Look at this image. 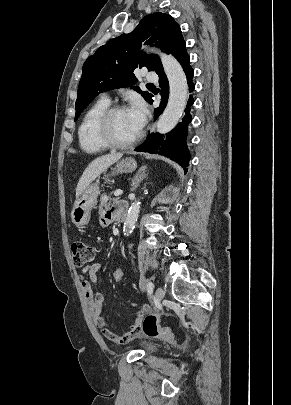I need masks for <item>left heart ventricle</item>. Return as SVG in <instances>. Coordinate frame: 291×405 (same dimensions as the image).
<instances>
[{
    "mask_svg": "<svg viewBox=\"0 0 291 405\" xmlns=\"http://www.w3.org/2000/svg\"><path fill=\"white\" fill-rule=\"evenodd\" d=\"M112 132L114 138L120 142H128L139 133L128 109L114 116L112 120Z\"/></svg>",
    "mask_w": 291,
    "mask_h": 405,
    "instance_id": "obj_1",
    "label": "left heart ventricle"
}]
</instances>
